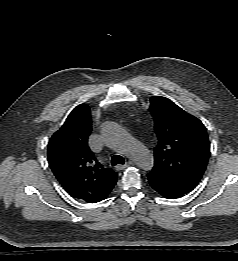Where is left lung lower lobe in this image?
<instances>
[{
  "instance_id": "left-lung-lower-lobe-1",
  "label": "left lung lower lobe",
  "mask_w": 238,
  "mask_h": 261,
  "mask_svg": "<svg viewBox=\"0 0 238 261\" xmlns=\"http://www.w3.org/2000/svg\"><path fill=\"white\" fill-rule=\"evenodd\" d=\"M148 182L150 184V186L160 195L166 197V198H170V199H176L182 196L181 193L174 191L170 188H168L167 186L161 184L160 182H158L157 180L148 177Z\"/></svg>"
}]
</instances>
